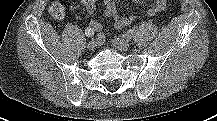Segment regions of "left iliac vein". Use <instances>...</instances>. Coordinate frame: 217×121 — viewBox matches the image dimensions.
Instances as JSON below:
<instances>
[{"mask_svg": "<svg viewBox=\"0 0 217 121\" xmlns=\"http://www.w3.org/2000/svg\"><path fill=\"white\" fill-rule=\"evenodd\" d=\"M112 44L115 46L118 50L121 51H128L130 48V43L127 39L121 38V37H115L112 39Z\"/></svg>", "mask_w": 217, "mask_h": 121, "instance_id": "obj_1", "label": "left iliac vein"}]
</instances>
